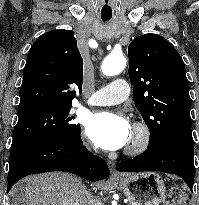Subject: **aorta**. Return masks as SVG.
<instances>
[{
	"label": "aorta",
	"instance_id": "1",
	"mask_svg": "<svg viewBox=\"0 0 199 205\" xmlns=\"http://www.w3.org/2000/svg\"><path fill=\"white\" fill-rule=\"evenodd\" d=\"M125 66L126 59L122 54H111L102 62L101 70L106 76H114L122 72Z\"/></svg>",
	"mask_w": 199,
	"mask_h": 205
}]
</instances>
